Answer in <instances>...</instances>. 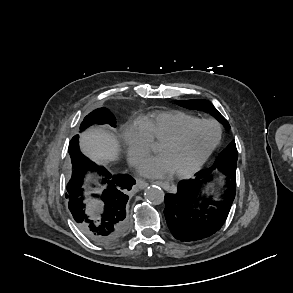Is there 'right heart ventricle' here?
Instances as JSON below:
<instances>
[{
	"label": "right heart ventricle",
	"instance_id": "right-heart-ventricle-1",
	"mask_svg": "<svg viewBox=\"0 0 293 293\" xmlns=\"http://www.w3.org/2000/svg\"><path fill=\"white\" fill-rule=\"evenodd\" d=\"M198 119L179 110L155 111L140 120L151 141L162 142L175 134L184 125Z\"/></svg>",
	"mask_w": 293,
	"mask_h": 293
}]
</instances>
